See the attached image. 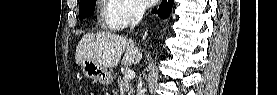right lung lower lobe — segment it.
Listing matches in <instances>:
<instances>
[{
	"instance_id": "98d812e1",
	"label": "right lung lower lobe",
	"mask_w": 277,
	"mask_h": 95,
	"mask_svg": "<svg viewBox=\"0 0 277 95\" xmlns=\"http://www.w3.org/2000/svg\"><path fill=\"white\" fill-rule=\"evenodd\" d=\"M173 5V0H163L158 9L152 10V13H157L161 18H167L170 15Z\"/></svg>"
}]
</instances>
